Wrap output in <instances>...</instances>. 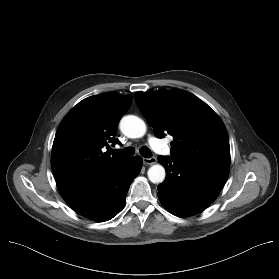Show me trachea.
Returning <instances> with one entry per match:
<instances>
[{
    "label": "trachea",
    "instance_id": "obj_1",
    "mask_svg": "<svg viewBox=\"0 0 279 279\" xmlns=\"http://www.w3.org/2000/svg\"><path fill=\"white\" fill-rule=\"evenodd\" d=\"M110 152H111V154H115L118 156L128 157V156L134 155L135 149L133 147H126V148L120 149V150L111 149ZM139 152L145 158L151 157V150L146 146L141 147Z\"/></svg>",
    "mask_w": 279,
    "mask_h": 279
}]
</instances>
